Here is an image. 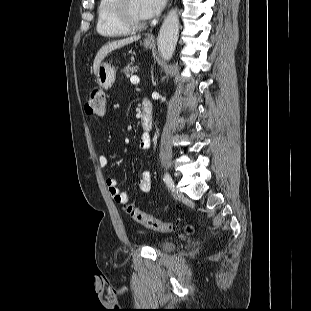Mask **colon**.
<instances>
[{"mask_svg": "<svg viewBox=\"0 0 311 311\" xmlns=\"http://www.w3.org/2000/svg\"><path fill=\"white\" fill-rule=\"evenodd\" d=\"M85 111L92 116H103L106 114L107 100L103 90L94 89L91 91L85 103ZM125 209L131 219L146 228L165 233L173 231L176 227L174 224L160 221L130 204L126 205Z\"/></svg>", "mask_w": 311, "mask_h": 311, "instance_id": "5ec220e1", "label": "colon"}]
</instances>
